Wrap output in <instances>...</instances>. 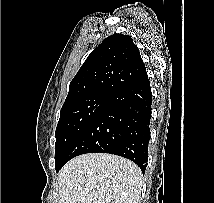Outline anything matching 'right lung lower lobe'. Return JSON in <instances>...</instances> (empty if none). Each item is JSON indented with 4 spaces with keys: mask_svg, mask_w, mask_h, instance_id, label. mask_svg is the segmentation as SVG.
<instances>
[{
    "mask_svg": "<svg viewBox=\"0 0 214 203\" xmlns=\"http://www.w3.org/2000/svg\"><path fill=\"white\" fill-rule=\"evenodd\" d=\"M151 104L148 77L112 95L71 148L66 162L85 153H110L130 159L144 173L150 140Z\"/></svg>",
    "mask_w": 214,
    "mask_h": 203,
    "instance_id": "1",
    "label": "right lung lower lobe"
}]
</instances>
